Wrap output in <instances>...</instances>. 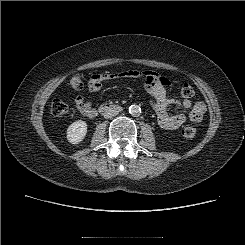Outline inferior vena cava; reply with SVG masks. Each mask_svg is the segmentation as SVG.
<instances>
[{
  "instance_id": "602c4592",
  "label": "inferior vena cava",
  "mask_w": 245,
  "mask_h": 245,
  "mask_svg": "<svg viewBox=\"0 0 245 245\" xmlns=\"http://www.w3.org/2000/svg\"><path fill=\"white\" fill-rule=\"evenodd\" d=\"M118 113H119V111L117 109L111 108V109H108L107 111H105L103 113V116H104V118H111V117L118 115Z\"/></svg>"
}]
</instances>
